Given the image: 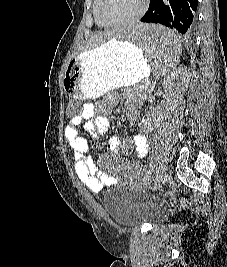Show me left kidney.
Segmentation results:
<instances>
[{
    "label": "left kidney",
    "instance_id": "1",
    "mask_svg": "<svg viewBox=\"0 0 227 267\" xmlns=\"http://www.w3.org/2000/svg\"><path fill=\"white\" fill-rule=\"evenodd\" d=\"M190 78L191 73L186 66L174 69L172 77L164 78L162 86L165 91V101L161 105L162 108H165L166 111H173L176 108L189 86ZM161 119L160 111H156L151 115H147L142 122L146 127L148 126V129H153V127L159 125Z\"/></svg>",
    "mask_w": 227,
    "mask_h": 267
}]
</instances>
